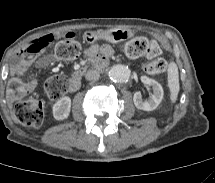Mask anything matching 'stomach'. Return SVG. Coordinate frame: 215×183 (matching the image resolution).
Here are the masks:
<instances>
[{"label": "stomach", "instance_id": "0dacf381", "mask_svg": "<svg viewBox=\"0 0 215 183\" xmlns=\"http://www.w3.org/2000/svg\"><path fill=\"white\" fill-rule=\"evenodd\" d=\"M134 36V32L129 29H108L105 31H97L93 33L91 40L96 41L98 39H104L110 43H121Z\"/></svg>", "mask_w": 215, "mask_h": 183}]
</instances>
